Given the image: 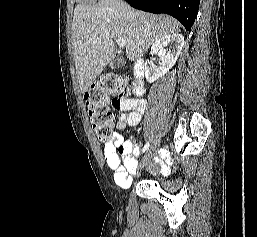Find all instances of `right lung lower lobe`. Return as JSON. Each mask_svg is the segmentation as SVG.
<instances>
[{
  "label": "right lung lower lobe",
  "mask_w": 257,
  "mask_h": 237,
  "mask_svg": "<svg viewBox=\"0 0 257 237\" xmlns=\"http://www.w3.org/2000/svg\"><path fill=\"white\" fill-rule=\"evenodd\" d=\"M132 7L151 12L166 13L177 20L188 30L192 25L198 13L200 0H126Z\"/></svg>",
  "instance_id": "obj_1"
}]
</instances>
